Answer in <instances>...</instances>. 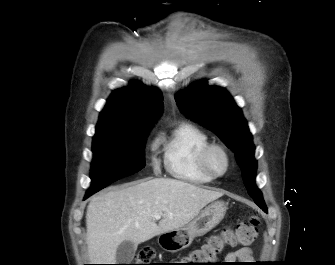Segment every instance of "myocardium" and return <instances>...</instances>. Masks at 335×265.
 I'll return each instance as SVG.
<instances>
[{
  "instance_id": "myocardium-1",
  "label": "myocardium",
  "mask_w": 335,
  "mask_h": 265,
  "mask_svg": "<svg viewBox=\"0 0 335 265\" xmlns=\"http://www.w3.org/2000/svg\"><path fill=\"white\" fill-rule=\"evenodd\" d=\"M214 152H220L225 158V168L221 172H217L211 165V156ZM200 165L202 169L213 178L223 177L228 173L231 167V156L228 149L221 144L211 143L207 145L201 153Z\"/></svg>"
}]
</instances>
